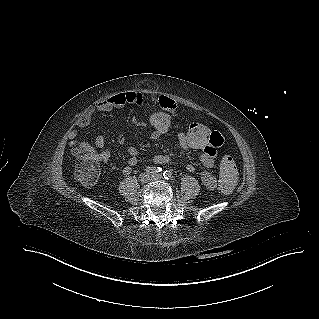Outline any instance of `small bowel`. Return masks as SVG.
<instances>
[{
    "instance_id": "c3829d8e",
    "label": "small bowel",
    "mask_w": 319,
    "mask_h": 319,
    "mask_svg": "<svg viewBox=\"0 0 319 319\" xmlns=\"http://www.w3.org/2000/svg\"><path fill=\"white\" fill-rule=\"evenodd\" d=\"M144 95L139 91H128L113 95L99 102L92 110L85 112L77 122V128L86 129L88 128L94 116L96 114H102L114 109L123 107L125 105H142L144 103ZM157 108H162L163 113H174L176 111V99H169L167 97H159L157 99ZM137 123L136 120H133ZM77 129H73L68 134V140L70 146H78L80 148H91V146L85 142H80L76 140ZM161 135L150 133L152 139H158ZM211 142L209 146L202 149V153L199 156L200 162L205 167V170L201 172V180L206 188L213 190L217 187L218 181L215 175L210 172V169L214 166L215 158L218 154V149L223 147V130L222 129H211L210 130ZM178 141L180 146L187 150L189 147L184 143L182 139V133L178 134ZM105 145V140L103 136L98 135L94 139V147L101 149L99 152L95 153V156L100 161H108L111 157V151L109 149L103 148ZM92 149V148H91ZM128 153V166L124 169L126 174L132 171V167L137 163L138 151L135 147H129L127 149ZM155 163H167L170 161L169 156L157 155L153 158ZM187 170L190 172L195 171V165L190 163L186 166Z\"/></svg>"
}]
</instances>
